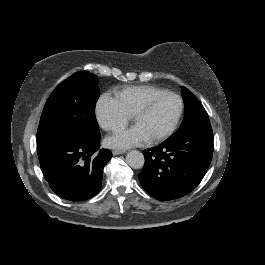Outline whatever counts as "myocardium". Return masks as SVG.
<instances>
[{"label": "myocardium", "instance_id": "f54148a6", "mask_svg": "<svg viewBox=\"0 0 265 265\" xmlns=\"http://www.w3.org/2000/svg\"><path fill=\"white\" fill-rule=\"evenodd\" d=\"M160 95H169V96L175 97L179 102V108H178V112H177L175 119L164 130H162L157 135L151 137L149 139L150 143H157V142L163 140L164 138L168 137L175 130V128L179 124L181 117L183 115L184 101H183L182 96L173 92V91H170V90L160 89V90H157L156 92L152 93L151 95H149L140 104V106L137 108V110L135 111L133 116H136V115L143 113L150 106V104Z\"/></svg>", "mask_w": 265, "mask_h": 265}]
</instances>
